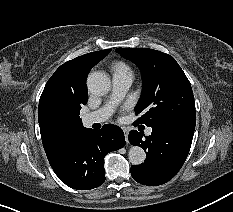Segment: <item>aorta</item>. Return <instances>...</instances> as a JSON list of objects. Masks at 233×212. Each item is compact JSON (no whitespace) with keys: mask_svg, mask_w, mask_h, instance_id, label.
I'll return each mask as SVG.
<instances>
[{"mask_svg":"<svg viewBox=\"0 0 233 212\" xmlns=\"http://www.w3.org/2000/svg\"><path fill=\"white\" fill-rule=\"evenodd\" d=\"M88 90L97 95L108 93L111 88L110 78L103 72H92L87 78ZM146 158L145 151L138 146H132L128 152V159L133 165H139L144 162Z\"/></svg>","mask_w":233,"mask_h":212,"instance_id":"obj_1","label":"aorta"}]
</instances>
